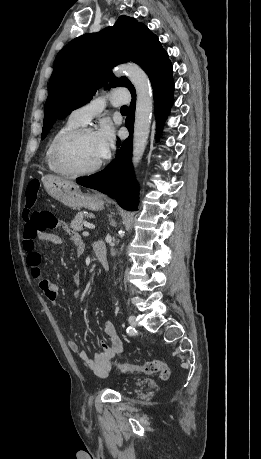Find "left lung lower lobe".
I'll return each mask as SVG.
<instances>
[{"label": "left lung lower lobe", "mask_w": 261, "mask_h": 459, "mask_svg": "<svg viewBox=\"0 0 261 459\" xmlns=\"http://www.w3.org/2000/svg\"><path fill=\"white\" fill-rule=\"evenodd\" d=\"M172 73L173 68L170 63L151 80L158 133L173 103L174 82ZM131 94L130 112L125 122L130 133L129 137L122 143H118L120 149L117 151L116 158L104 170L90 177L79 178L77 183L107 194L116 199L118 204L127 210H136L137 186L131 164L136 94L135 92Z\"/></svg>", "instance_id": "obj_1"}]
</instances>
